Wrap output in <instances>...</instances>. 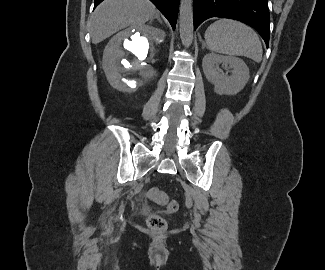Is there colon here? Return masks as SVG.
I'll list each match as a JSON object with an SVG mask.
<instances>
[{
  "mask_svg": "<svg viewBox=\"0 0 325 270\" xmlns=\"http://www.w3.org/2000/svg\"><path fill=\"white\" fill-rule=\"evenodd\" d=\"M148 196L157 204L164 206L166 212L169 214H174L179 209L178 202L174 199L169 198L163 191L158 188H151L148 192ZM147 225L153 230L162 231L166 228L167 222L160 215L153 214L147 218Z\"/></svg>",
  "mask_w": 325,
  "mask_h": 270,
  "instance_id": "obj_1",
  "label": "colon"
}]
</instances>
